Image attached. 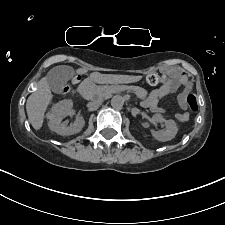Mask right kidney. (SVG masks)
I'll list each match as a JSON object with an SVG mask.
<instances>
[{
    "instance_id": "1",
    "label": "right kidney",
    "mask_w": 225,
    "mask_h": 225,
    "mask_svg": "<svg viewBox=\"0 0 225 225\" xmlns=\"http://www.w3.org/2000/svg\"><path fill=\"white\" fill-rule=\"evenodd\" d=\"M73 103L71 100H63L54 104L47 117L49 119V128L55 131L59 135L67 136L79 133L85 125L83 117L79 116L76 120L67 126L66 123H62V119L67 115H73L72 110Z\"/></svg>"
}]
</instances>
